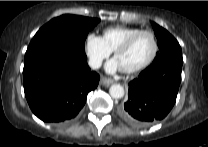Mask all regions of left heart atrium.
I'll list each match as a JSON object with an SVG mask.
<instances>
[{"instance_id": "obj_1", "label": "left heart atrium", "mask_w": 208, "mask_h": 147, "mask_svg": "<svg viewBox=\"0 0 208 147\" xmlns=\"http://www.w3.org/2000/svg\"><path fill=\"white\" fill-rule=\"evenodd\" d=\"M120 65L116 58L110 60L106 65V70L108 72H115L116 70L120 69Z\"/></svg>"}]
</instances>
